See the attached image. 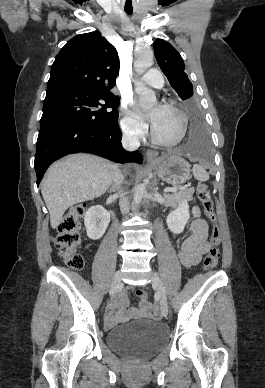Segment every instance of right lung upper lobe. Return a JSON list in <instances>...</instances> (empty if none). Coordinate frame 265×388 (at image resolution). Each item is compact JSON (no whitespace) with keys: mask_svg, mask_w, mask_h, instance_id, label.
<instances>
[{"mask_svg":"<svg viewBox=\"0 0 265 388\" xmlns=\"http://www.w3.org/2000/svg\"><path fill=\"white\" fill-rule=\"evenodd\" d=\"M119 67L115 47L100 32L77 35L56 56L46 95L108 90L115 85Z\"/></svg>","mask_w":265,"mask_h":388,"instance_id":"right-lung-upper-lobe-1","label":"right lung upper lobe"}]
</instances>
